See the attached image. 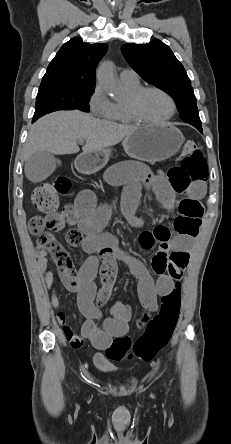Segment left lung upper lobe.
Returning a JSON list of instances; mask_svg holds the SVG:
<instances>
[{
	"instance_id": "1",
	"label": "left lung upper lobe",
	"mask_w": 231,
	"mask_h": 444,
	"mask_svg": "<svg viewBox=\"0 0 231 444\" xmlns=\"http://www.w3.org/2000/svg\"><path fill=\"white\" fill-rule=\"evenodd\" d=\"M122 52L130 66L147 82L176 101L183 120L202 128L196 97L183 65L171 49L158 39L147 44H125Z\"/></svg>"
}]
</instances>
